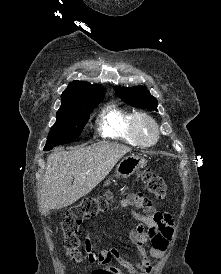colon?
<instances>
[{
	"label": "colon",
	"instance_id": "1",
	"mask_svg": "<svg viewBox=\"0 0 221 274\" xmlns=\"http://www.w3.org/2000/svg\"><path fill=\"white\" fill-rule=\"evenodd\" d=\"M139 177L152 195L157 199L164 198L167 185L163 177L149 169L142 170ZM112 199V192H107L98 197H89L77 206L70 208L66 213L61 224L64 236L63 244L74 262H79L82 259V254L79 250L80 240L78 232L83 220L105 211Z\"/></svg>",
	"mask_w": 221,
	"mask_h": 274
}]
</instances>
